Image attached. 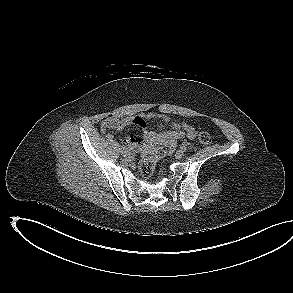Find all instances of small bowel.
Wrapping results in <instances>:
<instances>
[{
    "instance_id": "obj_1",
    "label": "small bowel",
    "mask_w": 293,
    "mask_h": 293,
    "mask_svg": "<svg viewBox=\"0 0 293 293\" xmlns=\"http://www.w3.org/2000/svg\"><path fill=\"white\" fill-rule=\"evenodd\" d=\"M150 119H158L164 125H168L169 129L150 130L147 121ZM129 125H136L142 130V137L138 138L134 135L128 136L124 143L130 148L151 149L154 145H160L165 142H177L181 139H194L197 132L193 126L186 122H175L168 115L147 113L139 114L134 117H110L103 120L100 124L102 132L108 129H121Z\"/></svg>"
}]
</instances>
